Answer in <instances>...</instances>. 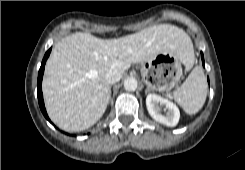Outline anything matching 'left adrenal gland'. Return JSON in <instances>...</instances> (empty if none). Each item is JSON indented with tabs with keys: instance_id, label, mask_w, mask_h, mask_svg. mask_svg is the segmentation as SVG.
Listing matches in <instances>:
<instances>
[{
	"instance_id": "obj_1",
	"label": "left adrenal gland",
	"mask_w": 245,
	"mask_h": 170,
	"mask_svg": "<svg viewBox=\"0 0 245 170\" xmlns=\"http://www.w3.org/2000/svg\"><path fill=\"white\" fill-rule=\"evenodd\" d=\"M148 92H149V89L147 88L145 93L147 94Z\"/></svg>"
}]
</instances>
